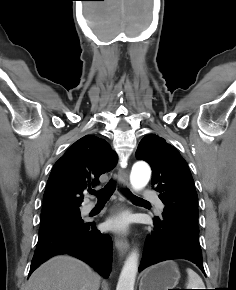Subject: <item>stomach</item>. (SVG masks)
<instances>
[{"instance_id":"obj_1","label":"stomach","mask_w":236,"mask_h":290,"mask_svg":"<svg viewBox=\"0 0 236 290\" xmlns=\"http://www.w3.org/2000/svg\"><path fill=\"white\" fill-rule=\"evenodd\" d=\"M180 279L177 264L165 261L147 269L141 277L139 290L175 289Z\"/></svg>"}]
</instances>
